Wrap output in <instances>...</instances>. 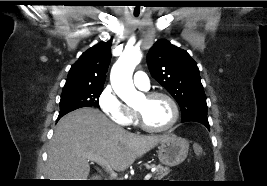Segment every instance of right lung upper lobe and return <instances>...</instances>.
<instances>
[{
  "instance_id": "obj_1",
  "label": "right lung upper lobe",
  "mask_w": 267,
  "mask_h": 186,
  "mask_svg": "<svg viewBox=\"0 0 267 186\" xmlns=\"http://www.w3.org/2000/svg\"><path fill=\"white\" fill-rule=\"evenodd\" d=\"M111 43L101 42L84 52L72 65L64 88H103L111 59Z\"/></svg>"
}]
</instances>
